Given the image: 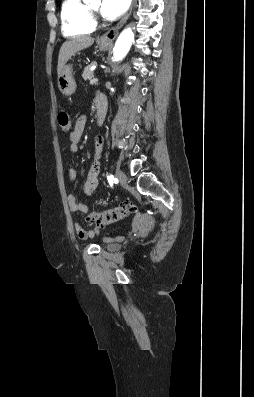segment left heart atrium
<instances>
[{"label": "left heart atrium", "instance_id": "1", "mask_svg": "<svg viewBox=\"0 0 254 397\" xmlns=\"http://www.w3.org/2000/svg\"><path fill=\"white\" fill-rule=\"evenodd\" d=\"M131 0H102L100 12L108 19L121 16L129 7Z\"/></svg>", "mask_w": 254, "mask_h": 397}]
</instances>
